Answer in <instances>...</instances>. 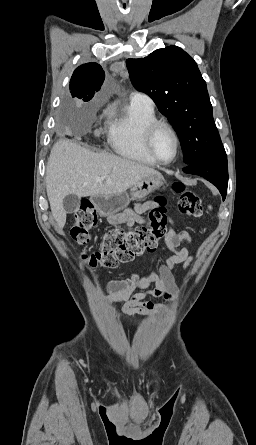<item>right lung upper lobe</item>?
Here are the masks:
<instances>
[{"mask_svg":"<svg viewBox=\"0 0 256 445\" xmlns=\"http://www.w3.org/2000/svg\"><path fill=\"white\" fill-rule=\"evenodd\" d=\"M105 73L102 67L94 62L79 66L70 80V90L73 97L84 101L93 98L96 91L100 90Z\"/></svg>","mask_w":256,"mask_h":445,"instance_id":"cb5924a9","label":"right lung upper lobe"}]
</instances>
